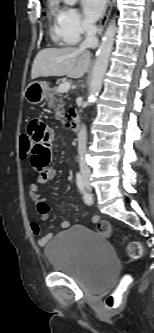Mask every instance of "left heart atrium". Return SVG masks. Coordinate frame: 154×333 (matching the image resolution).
Instances as JSON below:
<instances>
[{"label":"left heart atrium","mask_w":154,"mask_h":333,"mask_svg":"<svg viewBox=\"0 0 154 333\" xmlns=\"http://www.w3.org/2000/svg\"><path fill=\"white\" fill-rule=\"evenodd\" d=\"M107 0H82L85 17L89 21H96L102 15Z\"/></svg>","instance_id":"left-heart-atrium-1"}]
</instances>
